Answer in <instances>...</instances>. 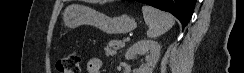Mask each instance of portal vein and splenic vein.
Returning a JSON list of instances; mask_svg holds the SVG:
<instances>
[{"label": "portal vein and splenic vein", "mask_w": 244, "mask_h": 73, "mask_svg": "<svg viewBox=\"0 0 244 73\" xmlns=\"http://www.w3.org/2000/svg\"><path fill=\"white\" fill-rule=\"evenodd\" d=\"M130 40V38H125V39H123V42L125 43V42H128Z\"/></svg>", "instance_id": "obj_1"}]
</instances>
